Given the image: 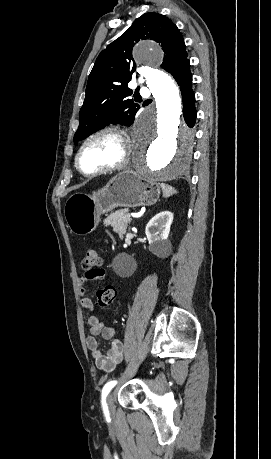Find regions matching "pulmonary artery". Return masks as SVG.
Returning <instances> with one entry per match:
<instances>
[{"label":"pulmonary artery","instance_id":"e3ab8cb5","mask_svg":"<svg viewBox=\"0 0 271 459\" xmlns=\"http://www.w3.org/2000/svg\"><path fill=\"white\" fill-rule=\"evenodd\" d=\"M149 95H150V92H149L147 89H142V90L140 91V96H141L142 98H147Z\"/></svg>","mask_w":271,"mask_h":459}]
</instances>
